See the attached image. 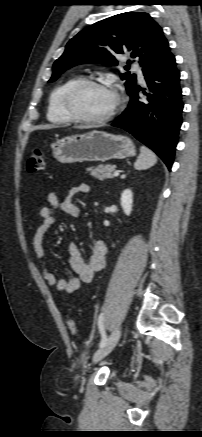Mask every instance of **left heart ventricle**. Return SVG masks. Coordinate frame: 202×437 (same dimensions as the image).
Segmentation results:
<instances>
[{
	"instance_id": "obj_1",
	"label": "left heart ventricle",
	"mask_w": 202,
	"mask_h": 437,
	"mask_svg": "<svg viewBox=\"0 0 202 437\" xmlns=\"http://www.w3.org/2000/svg\"><path fill=\"white\" fill-rule=\"evenodd\" d=\"M116 103L113 91L98 87H89L79 93L76 105L80 113L88 117L107 115Z\"/></svg>"
}]
</instances>
